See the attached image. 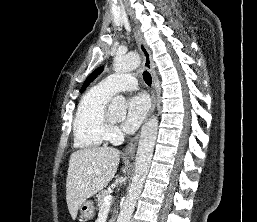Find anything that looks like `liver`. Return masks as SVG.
I'll return each mask as SVG.
<instances>
[{
	"label": "liver",
	"mask_w": 257,
	"mask_h": 222,
	"mask_svg": "<svg viewBox=\"0 0 257 222\" xmlns=\"http://www.w3.org/2000/svg\"><path fill=\"white\" fill-rule=\"evenodd\" d=\"M120 151L109 147H89L70 156L66 180V201L73 220L79 206L101 191L113 179Z\"/></svg>",
	"instance_id": "1"
}]
</instances>
